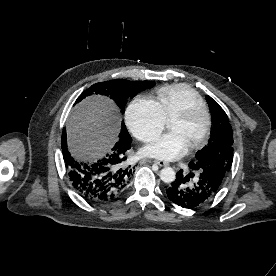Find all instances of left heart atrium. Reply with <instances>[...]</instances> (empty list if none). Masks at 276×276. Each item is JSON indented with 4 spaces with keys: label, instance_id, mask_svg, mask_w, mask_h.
<instances>
[{
    "label": "left heart atrium",
    "instance_id": "obj_1",
    "mask_svg": "<svg viewBox=\"0 0 276 276\" xmlns=\"http://www.w3.org/2000/svg\"><path fill=\"white\" fill-rule=\"evenodd\" d=\"M189 148V144L179 132L171 131L151 141L144 148V153L157 160L173 161L187 154Z\"/></svg>",
    "mask_w": 276,
    "mask_h": 276
}]
</instances>
